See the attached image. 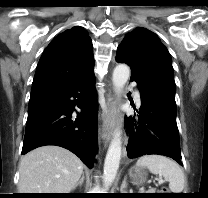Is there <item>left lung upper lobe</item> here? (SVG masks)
I'll list each match as a JSON object with an SVG mask.
<instances>
[{"label": "left lung upper lobe", "mask_w": 208, "mask_h": 198, "mask_svg": "<svg viewBox=\"0 0 208 198\" xmlns=\"http://www.w3.org/2000/svg\"><path fill=\"white\" fill-rule=\"evenodd\" d=\"M117 53L124 56L131 67V75L140 85L176 107L171 57L155 33L146 28H136L126 35Z\"/></svg>", "instance_id": "5c2ea615"}]
</instances>
